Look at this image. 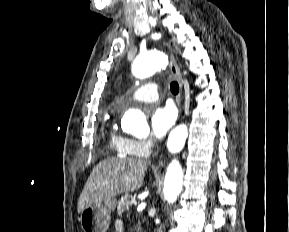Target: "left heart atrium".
I'll list each match as a JSON object with an SVG mask.
<instances>
[{
	"instance_id": "obj_1",
	"label": "left heart atrium",
	"mask_w": 289,
	"mask_h": 232,
	"mask_svg": "<svg viewBox=\"0 0 289 232\" xmlns=\"http://www.w3.org/2000/svg\"><path fill=\"white\" fill-rule=\"evenodd\" d=\"M176 121V111L171 105L155 107L150 116L151 133L162 138Z\"/></svg>"
}]
</instances>
